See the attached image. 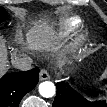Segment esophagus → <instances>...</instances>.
Here are the masks:
<instances>
[{"label":"esophagus","instance_id":"esophagus-1","mask_svg":"<svg viewBox=\"0 0 107 107\" xmlns=\"http://www.w3.org/2000/svg\"><path fill=\"white\" fill-rule=\"evenodd\" d=\"M39 77H40V80H48V79H50V75H49L48 71L45 70V69H42L40 71Z\"/></svg>","mask_w":107,"mask_h":107}]
</instances>
